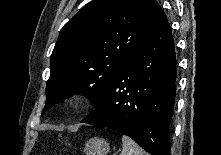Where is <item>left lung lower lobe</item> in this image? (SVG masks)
Listing matches in <instances>:
<instances>
[{"instance_id":"obj_1","label":"left lung lower lobe","mask_w":221,"mask_h":155,"mask_svg":"<svg viewBox=\"0 0 221 155\" xmlns=\"http://www.w3.org/2000/svg\"><path fill=\"white\" fill-rule=\"evenodd\" d=\"M176 71L171 28L162 12L81 122L123 133L151 155H170Z\"/></svg>"}]
</instances>
